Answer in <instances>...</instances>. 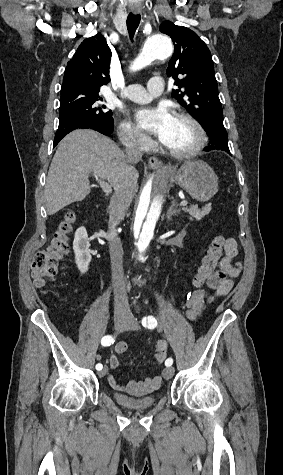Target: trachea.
Instances as JSON below:
<instances>
[{
	"instance_id": "3493384b",
	"label": "trachea",
	"mask_w": 283,
	"mask_h": 475,
	"mask_svg": "<svg viewBox=\"0 0 283 475\" xmlns=\"http://www.w3.org/2000/svg\"><path fill=\"white\" fill-rule=\"evenodd\" d=\"M141 17L140 15H134V13H129L127 17V29L130 36L131 41H133L134 34L139 26Z\"/></svg>"
}]
</instances>
